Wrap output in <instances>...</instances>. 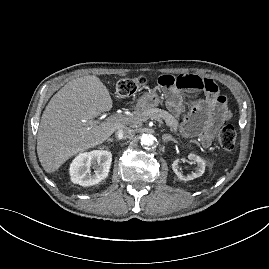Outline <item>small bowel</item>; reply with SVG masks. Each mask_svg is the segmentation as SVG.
I'll list each match as a JSON object with an SVG mask.
<instances>
[{
  "label": "small bowel",
  "mask_w": 269,
  "mask_h": 269,
  "mask_svg": "<svg viewBox=\"0 0 269 269\" xmlns=\"http://www.w3.org/2000/svg\"><path fill=\"white\" fill-rule=\"evenodd\" d=\"M155 83L168 90L179 88L182 84L179 89L204 90L205 99L194 102L182 123V131L188 136H196L202 147H209L215 130L230 118L226 98L219 93L215 80L209 76L159 74ZM168 105L174 113L181 110L182 99L178 92L170 94Z\"/></svg>",
  "instance_id": "c3829d8e"
}]
</instances>
